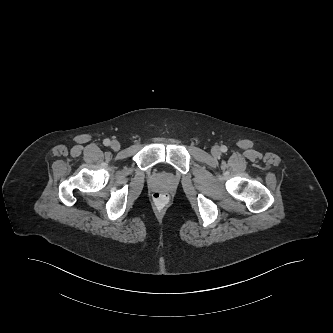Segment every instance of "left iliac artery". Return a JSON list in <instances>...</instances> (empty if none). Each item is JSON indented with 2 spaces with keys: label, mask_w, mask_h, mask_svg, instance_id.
<instances>
[{
  "label": "left iliac artery",
  "mask_w": 333,
  "mask_h": 333,
  "mask_svg": "<svg viewBox=\"0 0 333 333\" xmlns=\"http://www.w3.org/2000/svg\"><path fill=\"white\" fill-rule=\"evenodd\" d=\"M221 151L225 153L227 151V147L225 145L221 146Z\"/></svg>",
  "instance_id": "1"
}]
</instances>
